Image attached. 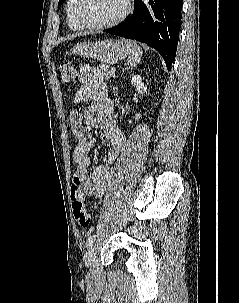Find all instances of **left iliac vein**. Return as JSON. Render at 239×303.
Listing matches in <instances>:
<instances>
[{
  "label": "left iliac vein",
  "instance_id": "left-iliac-vein-1",
  "mask_svg": "<svg viewBox=\"0 0 239 303\" xmlns=\"http://www.w3.org/2000/svg\"><path fill=\"white\" fill-rule=\"evenodd\" d=\"M95 248L94 246H91L88 251L86 252L85 254V257H84V262H85V265L87 267H90L93 262H94V258H95Z\"/></svg>",
  "mask_w": 239,
  "mask_h": 303
}]
</instances>
